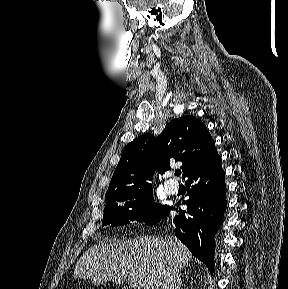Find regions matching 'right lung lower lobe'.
Listing matches in <instances>:
<instances>
[{"label":"right lung lower lobe","instance_id":"1","mask_svg":"<svg viewBox=\"0 0 288 289\" xmlns=\"http://www.w3.org/2000/svg\"><path fill=\"white\" fill-rule=\"evenodd\" d=\"M186 178L189 199L183 203L187 211L179 210L174 217L175 234L213 272L214 236L222 225L227 205L221 157L216 152ZM174 210L169 206L162 218Z\"/></svg>","mask_w":288,"mask_h":289}]
</instances>
